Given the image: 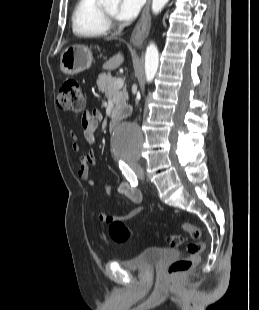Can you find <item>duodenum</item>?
<instances>
[{
	"label": "duodenum",
	"mask_w": 259,
	"mask_h": 310,
	"mask_svg": "<svg viewBox=\"0 0 259 310\" xmlns=\"http://www.w3.org/2000/svg\"><path fill=\"white\" fill-rule=\"evenodd\" d=\"M117 120H118L117 115L112 117L111 122H110V130H111V132L115 131L116 125H117Z\"/></svg>",
	"instance_id": "duodenum-1"
}]
</instances>
